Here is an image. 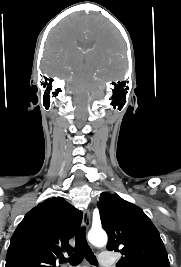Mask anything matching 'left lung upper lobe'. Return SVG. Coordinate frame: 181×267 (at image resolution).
I'll return each instance as SVG.
<instances>
[{"label":"left lung upper lobe","mask_w":181,"mask_h":267,"mask_svg":"<svg viewBox=\"0 0 181 267\" xmlns=\"http://www.w3.org/2000/svg\"><path fill=\"white\" fill-rule=\"evenodd\" d=\"M97 206L109 235L107 249L124 255L117 267H170L160 234L141 208L106 192Z\"/></svg>","instance_id":"1"}]
</instances>
